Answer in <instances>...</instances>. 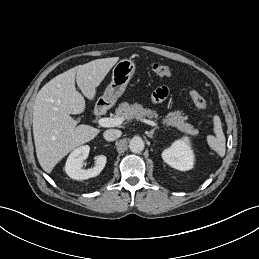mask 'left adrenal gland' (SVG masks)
<instances>
[{"mask_svg":"<svg viewBox=\"0 0 259 259\" xmlns=\"http://www.w3.org/2000/svg\"><path fill=\"white\" fill-rule=\"evenodd\" d=\"M156 129H157V127L153 128L151 131L147 132V133H146L147 136H148L149 138H153V134H154V132H155Z\"/></svg>","mask_w":259,"mask_h":259,"instance_id":"1","label":"left adrenal gland"}]
</instances>
